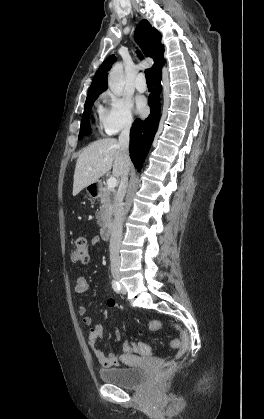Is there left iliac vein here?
Instances as JSON below:
<instances>
[{"label":"left iliac vein","mask_w":264,"mask_h":419,"mask_svg":"<svg viewBox=\"0 0 264 419\" xmlns=\"http://www.w3.org/2000/svg\"><path fill=\"white\" fill-rule=\"evenodd\" d=\"M121 292L124 294L125 293V289L123 287H121Z\"/></svg>","instance_id":"1"}]
</instances>
